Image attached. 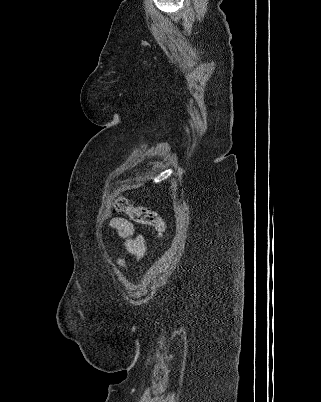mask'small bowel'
<instances>
[{
	"label": "small bowel",
	"instance_id": "1",
	"mask_svg": "<svg viewBox=\"0 0 321 402\" xmlns=\"http://www.w3.org/2000/svg\"><path fill=\"white\" fill-rule=\"evenodd\" d=\"M110 225L122 238L125 239V246L130 254L138 258L144 256L146 251L145 239L141 235H134L133 225L128 220L121 217H115ZM118 264L121 267H126V264L122 259H118Z\"/></svg>",
	"mask_w": 321,
	"mask_h": 402
}]
</instances>
